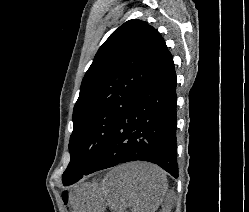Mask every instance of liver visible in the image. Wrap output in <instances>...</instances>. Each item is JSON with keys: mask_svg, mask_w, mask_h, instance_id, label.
Here are the masks:
<instances>
[{"mask_svg": "<svg viewBox=\"0 0 249 212\" xmlns=\"http://www.w3.org/2000/svg\"><path fill=\"white\" fill-rule=\"evenodd\" d=\"M104 206L114 212H156L167 192L164 170L147 162H128L112 168L98 184Z\"/></svg>", "mask_w": 249, "mask_h": 212, "instance_id": "obj_1", "label": "liver"}]
</instances>
